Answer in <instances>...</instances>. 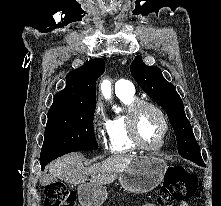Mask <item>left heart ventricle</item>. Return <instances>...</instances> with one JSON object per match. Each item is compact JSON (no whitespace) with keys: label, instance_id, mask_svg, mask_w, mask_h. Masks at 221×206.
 Instances as JSON below:
<instances>
[{"label":"left heart ventricle","instance_id":"left-heart-ventricle-1","mask_svg":"<svg viewBox=\"0 0 221 206\" xmlns=\"http://www.w3.org/2000/svg\"><path fill=\"white\" fill-rule=\"evenodd\" d=\"M138 129L147 145L158 144L163 136V123L158 114L150 108H142L138 114Z\"/></svg>","mask_w":221,"mask_h":206}]
</instances>
